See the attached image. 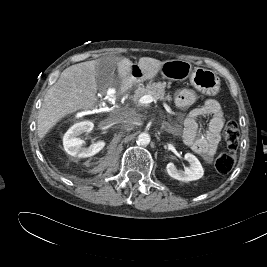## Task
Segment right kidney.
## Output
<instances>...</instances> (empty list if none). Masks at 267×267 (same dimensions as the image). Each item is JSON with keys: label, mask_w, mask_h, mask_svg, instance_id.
Instances as JSON below:
<instances>
[{"label": "right kidney", "mask_w": 267, "mask_h": 267, "mask_svg": "<svg viewBox=\"0 0 267 267\" xmlns=\"http://www.w3.org/2000/svg\"><path fill=\"white\" fill-rule=\"evenodd\" d=\"M94 127L91 121H83L74 124L63 136V146L65 151L74 157L86 158L97 154L105 146L104 141H98L90 147H83L84 141L78 136L82 133H89Z\"/></svg>", "instance_id": "ca27d5eb"}]
</instances>
